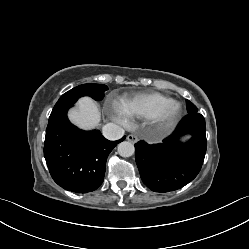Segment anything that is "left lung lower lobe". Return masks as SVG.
<instances>
[{
    "instance_id": "0a47b994",
    "label": "left lung lower lobe",
    "mask_w": 249,
    "mask_h": 249,
    "mask_svg": "<svg viewBox=\"0 0 249 249\" xmlns=\"http://www.w3.org/2000/svg\"><path fill=\"white\" fill-rule=\"evenodd\" d=\"M206 126L204 117L188 113L174 133L159 144L140 141L135 144L136 163L143 183L155 192L182 188L199 173L206 154ZM192 138L180 143L182 135Z\"/></svg>"
}]
</instances>
